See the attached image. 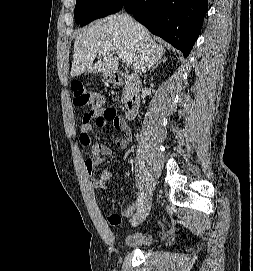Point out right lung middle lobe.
Instances as JSON below:
<instances>
[{"mask_svg": "<svg viewBox=\"0 0 253 271\" xmlns=\"http://www.w3.org/2000/svg\"><path fill=\"white\" fill-rule=\"evenodd\" d=\"M127 0H76L75 22L84 26L91 21L118 12Z\"/></svg>", "mask_w": 253, "mask_h": 271, "instance_id": "dd1d6c3e", "label": "right lung middle lobe"}]
</instances>
